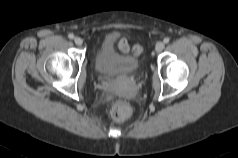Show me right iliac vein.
<instances>
[{"instance_id": "1", "label": "right iliac vein", "mask_w": 238, "mask_h": 158, "mask_svg": "<svg viewBox=\"0 0 238 158\" xmlns=\"http://www.w3.org/2000/svg\"><path fill=\"white\" fill-rule=\"evenodd\" d=\"M74 42L78 46H81L83 44V40L80 37H75Z\"/></svg>"}]
</instances>
